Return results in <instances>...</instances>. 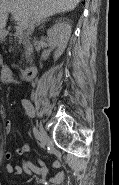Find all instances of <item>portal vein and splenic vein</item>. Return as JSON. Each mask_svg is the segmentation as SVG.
Listing matches in <instances>:
<instances>
[{
  "label": "portal vein and splenic vein",
  "instance_id": "1",
  "mask_svg": "<svg viewBox=\"0 0 119 185\" xmlns=\"http://www.w3.org/2000/svg\"><path fill=\"white\" fill-rule=\"evenodd\" d=\"M22 31H23V27L21 25H18L16 27V33H22Z\"/></svg>",
  "mask_w": 119,
  "mask_h": 185
}]
</instances>
